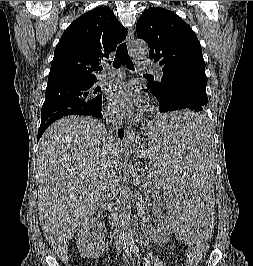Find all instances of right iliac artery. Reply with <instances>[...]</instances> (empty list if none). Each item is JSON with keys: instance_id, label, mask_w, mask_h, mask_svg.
<instances>
[{"instance_id": "82829eb1", "label": "right iliac artery", "mask_w": 253, "mask_h": 266, "mask_svg": "<svg viewBox=\"0 0 253 266\" xmlns=\"http://www.w3.org/2000/svg\"><path fill=\"white\" fill-rule=\"evenodd\" d=\"M130 257H131V248L125 247L124 248V255H123V266L127 265Z\"/></svg>"}]
</instances>
